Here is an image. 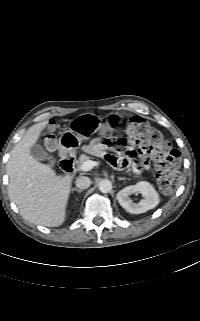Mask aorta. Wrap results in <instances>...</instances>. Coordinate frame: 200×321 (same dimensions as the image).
Instances as JSON below:
<instances>
[{"label": "aorta", "instance_id": "obj_1", "mask_svg": "<svg viewBox=\"0 0 200 321\" xmlns=\"http://www.w3.org/2000/svg\"><path fill=\"white\" fill-rule=\"evenodd\" d=\"M99 190L102 193H109L112 190V183L108 179H104L99 183Z\"/></svg>", "mask_w": 200, "mask_h": 321}]
</instances>
